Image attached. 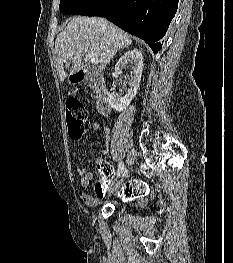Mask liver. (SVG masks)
<instances>
[{
	"mask_svg": "<svg viewBox=\"0 0 233 263\" xmlns=\"http://www.w3.org/2000/svg\"><path fill=\"white\" fill-rule=\"evenodd\" d=\"M132 44L130 35L99 17H76L58 34L55 41L56 69L61 81L67 78L66 68L72 62L70 74L81 69L84 54H91L99 61L102 72L114 55Z\"/></svg>",
	"mask_w": 233,
	"mask_h": 263,
	"instance_id": "obj_1",
	"label": "liver"
}]
</instances>
